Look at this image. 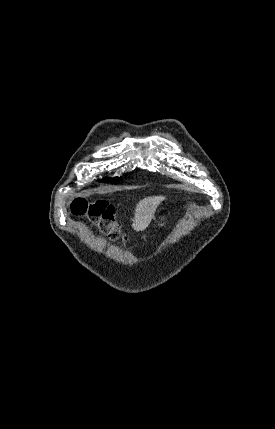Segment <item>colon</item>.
Wrapping results in <instances>:
<instances>
[{
	"label": "colon",
	"instance_id": "obj_1",
	"mask_svg": "<svg viewBox=\"0 0 275 429\" xmlns=\"http://www.w3.org/2000/svg\"><path fill=\"white\" fill-rule=\"evenodd\" d=\"M73 215L90 221L99 232L114 241L126 242L115 218V208L103 200H76L71 205Z\"/></svg>",
	"mask_w": 275,
	"mask_h": 429
}]
</instances>
